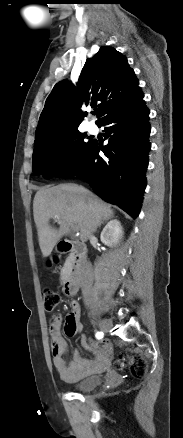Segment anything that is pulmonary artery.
Wrapping results in <instances>:
<instances>
[{
  "label": "pulmonary artery",
  "mask_w": 183,
  "mask_h": 438,
  "mask_svg": "<svg viewBox=\"0 0 183 438\" xmlns=\"http://www.w3.org/2000/svg\"><path fill=\"white\" fill-rule=\"evenodd\" d=\"M87 129H88V131H89L90 133H95V132L97 131V127H96V125L93 124V123H89V124L87 125Z\"/></svg>",
  "instance_id": "1"
}]
</instances>
